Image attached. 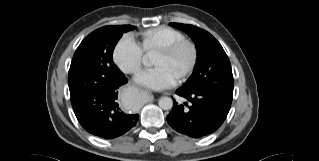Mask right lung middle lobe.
<instances>
[{
    "mask_svg": "<svg viewBox=\"0 0 319 161\" xmlns=\"http://www.w3.org/2000/svg\"><path fill=\"white\" fill-rule=\"evenodd\" d=\"M130 25L105 26L89 34L77 48L69 69L71 102L103 85H111L123 75L113 62L114 48Z\"/></svg>",
    "mask_w": 319,
    "mask_h": 161,
    "instance_id": "dd1d6c3e",
    "label": "right lung middle lobe"
}]
</instances>
